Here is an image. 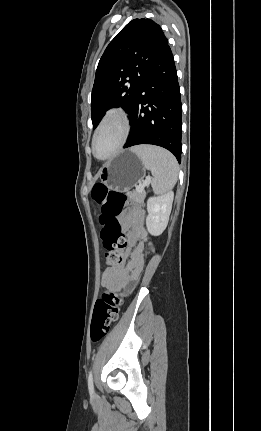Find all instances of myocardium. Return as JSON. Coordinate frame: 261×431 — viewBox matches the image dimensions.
<instances>
[{"label": "myocardium", "instance_id": "obj_1", "mask_svg": "<svg viewBox=\"0 0 261 431\" xmlns=\"http://www.w3.org/2000/svg\"><path fill=\"white\" fill-rule=\"evenodd\" d=\"M113 120H116L121 124L122 133H121L120 141L117 144V146L115 147V149L110 154H108L105 157H98L95 153V141H96L97 135L100 132V130L106 124H108L109 122H111ZM130 130H131V123H130L129 116L127 115L126 112H124L123 110H120V109L109 110L103 116V118L101 119L99 124L97 125L96 129L94 130L93 136H92L91 149H92V154L94 155V157L99 159V160H107V159L114 157L116 154H118L122 150V148L126 144L128 137H129V134H130Z\"/></svg>", "mask_w": 261, "mask_h": 431}]
</instances>
